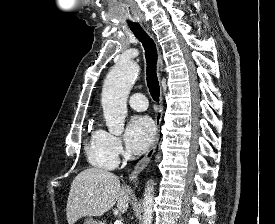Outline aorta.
I'll return each mask as SVG.
<instances>
[{
	"label": "aorta",
	"instance_id": "762f6f07",
	"mask_svg": "<svg viewBox=\"0 0 275 224\" xmlns=\"http://www.w3.org/2000/svg\"><path fill=\"white\" fill-rule=\"evenodd\" d=\"M139 66L133 61H119L108 73L102 89V107L106 126L110 133L119 135L124 130L127 99L138 76ZM154 184H146L142 202V224H152Z\"/></svg>",
	"mask_w": 275,
	"mask_h": 224
}]
</instances>
